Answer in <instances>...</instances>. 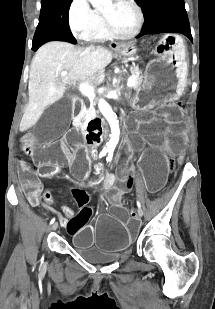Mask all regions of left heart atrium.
<instances>
[{
    "label": "left heart atrium",
    "mask_w": 215,
    "mask_h": 309,
    "mask_svg": "<svg viewBox=\"0 0 215 309\" xmlns=\"http://www.w3.org/2000/svg\"><path fill=\"white\" fill-rule=\"evenodd\" d=\"M105 20H115L114 18H107V19H105Z\"/></svg>",
    "instance_id": "left-heart-atrium-1"
}]
</instances>
